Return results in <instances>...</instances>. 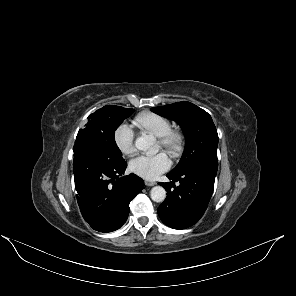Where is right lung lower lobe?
Here are the masks:
<instances>
[{"mask_svg": "<svg viewBox=\"0 0 296 296\" xmlns=\"http://www.w3.org/2000/svg\"><path fill=\"white\" fill-rule=\"evenodd\" d=\"M73 152L76 197L83 218L99 232L119 229L144 181L135 174L120 177L127 167L125 160H113L106 151L88 142L75 141Z\"/></svg>", "mask_w": 296, "mask_h": 296, "instance_id": "1", "label": "right lung lower lobe"}]
</instances>
